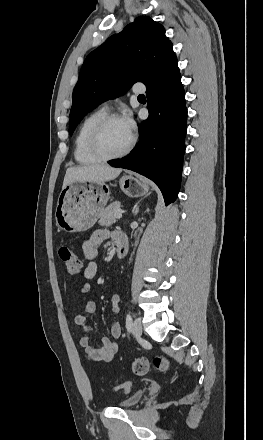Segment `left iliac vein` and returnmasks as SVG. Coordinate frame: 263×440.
I'll list each match as a JSON object with an SVG mask.
<instances>
[{
    "instance_id": "left-iliac-vein-1",
    "label": "left iliac vein",
    "mask_w": 263,
    "mask_h": 440,
    "mask_svg": "<svg viewBox=\"0 0 263 440\" xmlns=\"http://www.w3.org/2000/svg\"><path fill=\"white\" fill-rule=\"evenodd\" d=\"M132 334L139 338L142 335V325L139 319H135L133 324H132Z\"/></svg>"
}]
</instances>
